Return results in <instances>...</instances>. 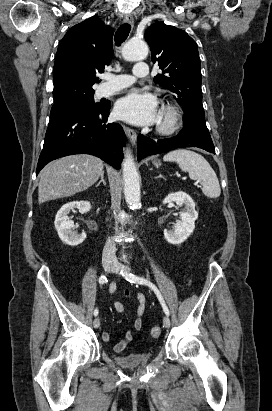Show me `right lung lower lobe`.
Wrapping results in <instances>:
<instances>
[{"label": "right lung lower lobe", "instance_id": "98d812e1", "mask_svg": "<svg viewBox=\"0 0 272 411\" xmlns=\"http://www.w3.org/2000/svg\"><path fill=\"white\" fill-rule=\"evenodd\" d=\"M109 110L110 102H104L50 118L36 174L54 159L80 153L120 168L125 133L119 124L107 123Z\"/></svg>", "mask_w": 272, "mask_h": 411}]
</instances>
